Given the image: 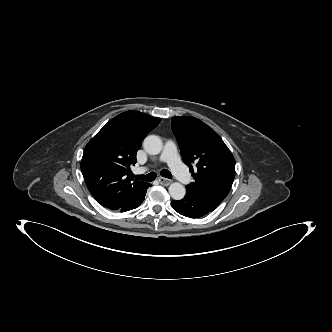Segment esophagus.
Segmentation results:
<instances>
[{
	"instance_id": "obj_1",
	"label": "esophagus",
	"mask_w": 332,
	"mask_h": 332,
	"mask_svg": "<svg viewBox=\"0 0 332 332\" xmlns=\"http://www.w3.org/2000/svg\"><path fill=\"white\" fill-rule=\"evenodd\" d=\"M159 182L162 184V185H169L171 183V180L170 179H167V178H163V177H160L159 178Z\"/></svg>"
}]
</instances>
